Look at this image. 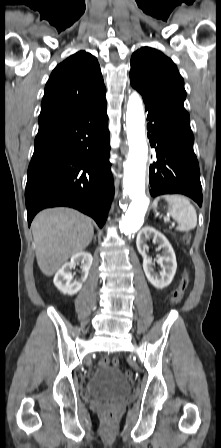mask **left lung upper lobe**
Returning <instances> with one entry per match:
<instances>
[{
    "mask_svg": "<svg viewBox=\"0 0 221 448\" xmlns=\"http://www.w3.org/2000/svg\"><path fill=\"white\" fill-rule=\"evenodd\" d=\"M130 82L146 106L190 128L189 114L183 106L184 80L170 58L150 47L138 49L131 57Z\"/></svg>",
    "mask_w": 221,
    "mask_h": 448,
    "instance_id": "obj_1",
    "label": "left lung upper lobe"
}]
</instances>
